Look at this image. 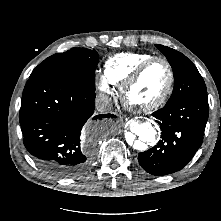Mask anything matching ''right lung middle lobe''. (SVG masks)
<instances>
[{
  "mask_svg": "<svg viewBox=\"0 0 221 221\" xmlns=\"http://www.w3.org/2000/svg\"><path fill=\"white\" fill-rule=\"evenodd\" d=\"M99 61L95 50L72 48L45 59L31 73H48L75 86L95 91V69Z\"/></svg>",
  "mask_w": 221,
  "mask_h": 221,
  "instance_id": "1",
  "label": "right lung middle lobe"
}]
</instances>
